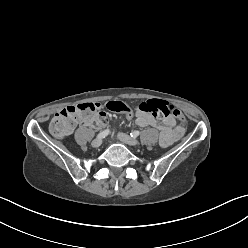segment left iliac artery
Returning <instances> with one entry per match:
<instances>
[{"label": "left iliac artery", "mask_w": 248, "mask_h": 248, "mask_svg": "<svg viewBox=\"0 0 248 248\" xmlns=\"http://www.w3.org/2000/svg\"><path fill=\"white\" fill-rule=\"evenodd\" d=\"M139 134H140V132H139V131H133V132H131V133H130L131 137H133V138L138 137V136H139Z\"/></svg>", "instance_id": "44dca946"}]
</instances>
